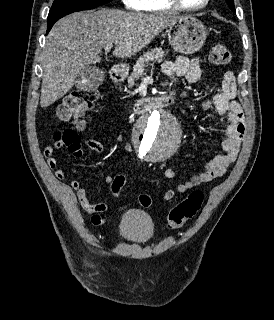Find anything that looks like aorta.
Segmentation results:
<instances>
[{"label":"aorta","mask_w":274,"mask_h":320,"mask_svg":"<svg viewBox=\"0 0 274 320\" xmlns=\"http://www.w3.org/2000/svg\"><path fill=\"white\" fill-rule=\"evenodd\" d=\"M181 137L176 119L164 110H154L138 123L134 132V141L141 157L151 162L169 159L179 148Z\"/></svg>","instance_id":"1"}]
</instances>
